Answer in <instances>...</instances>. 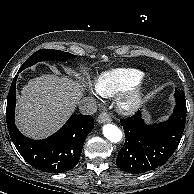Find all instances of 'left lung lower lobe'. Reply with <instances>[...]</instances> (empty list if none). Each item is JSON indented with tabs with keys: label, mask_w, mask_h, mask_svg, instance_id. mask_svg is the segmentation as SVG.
Segmentation results:
<instances>
[{
	"label": "left lung lower lobe",
	"mask_w": 194,
	"mask_h": 194,
	"mask_svg": "<svg viewBox=\"0 0 194 194\" xmlns=\"http://www.w3.org/2000/svg\"><path fill=\"white\" fill-rule=\"evenodd\" d=\"M176 107L167 122L150 125L137 113L122 119L126 142L116 163L128 173H144L164 164L180 143L186 122V100L182 90L175 92Z\"/></svg>",
	"instance_id": "0a47b994"
}]
</instances>
